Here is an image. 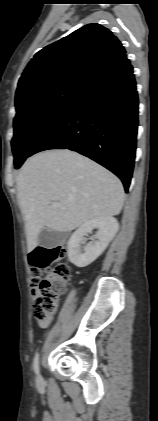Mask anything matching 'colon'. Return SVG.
I'll use <instances>...</instances> for the list:
<instances>
[{
  "label": "colon",
  "instance_id": "colon-1",
  "mask_svg": "<svg viewBox=\"0 0 158 421\" xmlns=\"http://www.w3.org/2000/svg\"><path fill=\"white\" fill-rule=\"evenodd\" d=\"M65 253L62 245L35 248L29 254L32 311L37 320L53 316L58 300L70 277L69 267L64 263L52 264Z\"/></svg>",
  "mask_w": 158,
  "mask_h": 421
}]
</instances>
